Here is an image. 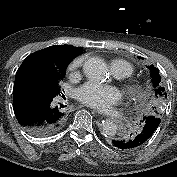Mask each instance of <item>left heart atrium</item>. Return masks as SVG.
<instances>
[{
  "mask_svg": "<svg viewBox=\"0 0 177 177\" xmlns=\"http://www.w3.org/2000/svg\"><path fill=\"white\" fill-rule=\"evenodd\" d=\"M76 96L83 104L100 111H107L122 100L118 88L95 82H87L78 88Z\"/></svg>",
  "mask_w": 177,
  "mask_h": 177,
  "instance_id": "39dd6f15",
  "label": "left heart atrium"
}]
</instances>
